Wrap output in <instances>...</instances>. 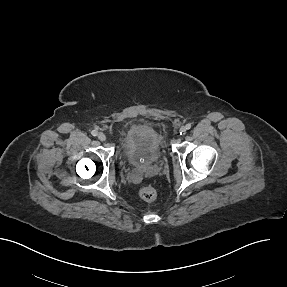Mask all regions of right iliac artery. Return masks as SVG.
<instances>
[{"mask_svg":"<svg viewBox=\"0 0 287 287\" xmlns=\"http://www.w3.org/2000/svg\"><path fill=\"white\" fill-rule=\"evenodd\" d=\"M91 134H92L93 136H97V135H98V132H97L96 130H92Z\"/></svg>","mask_w":287,"mask_h":287,"instance_id":"obj_1","label":"right iliac artery"}]
</instances>
